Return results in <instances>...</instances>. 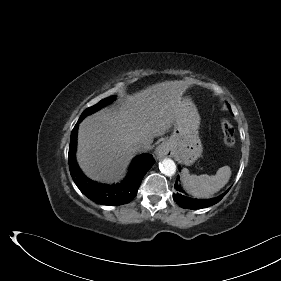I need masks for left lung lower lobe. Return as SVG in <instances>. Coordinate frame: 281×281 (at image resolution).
Instances as JSON below:
<instances>
[{
    "label": "left lung lower lobe",
    "instance_id": "left-lung-lower-lobe-1",
    "mask_svg": "<svg viewBox=\"0 0 281 281\" xmlns=\"http://www.w3.org/2000/svg\"><path fill=\"white\" fill-rule=\"evenodd\" d=\"M175 188L178 192L173 194V199L177 202V204L185 209H200V208H206L211 205H214L218 203L228 191L223 193L222 195L212 198V199H205V200H199V199H193L187 195H184L182 193L181 188L178 186V182L175 183Z\"/></svg>",
    "mask_w": 281,
    "mask_h": 281
}]
</instances>
